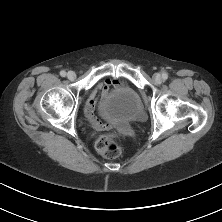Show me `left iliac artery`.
I'll return each mask as SVG.
<instances>
[{
    "instance_id": "44dca946",
    "label": "left iliac artery",
    "mask_w": 222,
    "mask_h": 222,
    "mask_svg": "<svg viewBox=\"0 0 222 222\" xmlns=\"http://www.w3.org/2000/svg\"><path fill=\"white\" fill-rule=\"evenodd\" d=\"M162 78H163L164 80H166V79L168 78V74H167V73H163V74H162Z\"/></svg>"
}]
</instances>
